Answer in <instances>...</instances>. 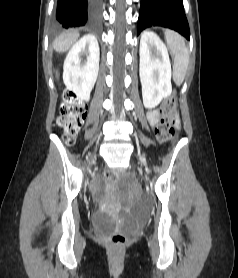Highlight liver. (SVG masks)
<instances>
[{"label": "liver", "mask_w": 238, "mask_h": 278, "mask_svg": "<svg viewBox=\"0 0 238 278\" xmlns=\"http://www.w3.org/2000/svg\"><path fill=\"white\" fill-rule=\"evenodd\" d=\"M78 38L79 33L77 31L64 33L55 39L53 48L58 53L66 52Z\"/></svg>", "instance_id": "obj_1"}]
</instances>
